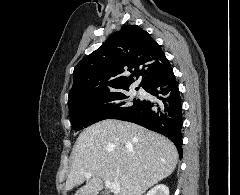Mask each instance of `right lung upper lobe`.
I'll return each instance as SVG.
<instances>
[{"label": "right lung upper lobe", "instance_id": "cb5924a9", "mask_svg": "<svg viewBox=\"0 0 240 195\" xmlns=\"http://www.w3.org/2000/svg\"><path fill=\"white\" fill-rule=\"evenodd\" d=\"M171 70L161 47L149 33L137 25H126L74 68L68 104L128 89L135 81L133 77L141 76L139 86L145 88ZM128 72L132 74L127 76Z\"/></svg>", "mask_w": 240, "mask_h": 195}]
</instances>
